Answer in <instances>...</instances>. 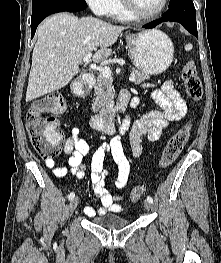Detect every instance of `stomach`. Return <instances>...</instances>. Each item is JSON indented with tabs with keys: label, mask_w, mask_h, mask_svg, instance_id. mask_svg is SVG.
<instances>
[{
	"label": "stomach",
	"mask_w": 221,
	"mask_h": 263,
	"mask_svg": "<svg viewBox=\"0 0 221 263\" xmlns=\"http://www.w3.org/2000/svg\"><path fill=\"white\" fill-rule=\"evenodd\" d=\"M130 58L143 73L156 75L172 63L174 46L171 39L157 29L147 30L126 37Z\"/></svg>",
	"instance_id": "obj_1"
}]
</instances>
